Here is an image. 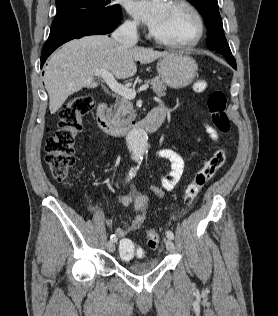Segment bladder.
Returning a JSON list of instances; mask_svg holds the SVG:
<instances>
[{"mask_svg":"<svg viewBox=\"0 0 278 316\" xmlns=\"http://www.w3.org/2000/svg\"><path fill=\"white\" fill-rule=\"evenodd\" d=\"M158 265H159V260L149 259V260L140 261V262L126 263L125 268L133 274L144 275L156 269Z\"/></svg>","mask_w":278,"mask_h":316,"instance_id":"31cf9c89","label":"bladder"}]
</instances>
